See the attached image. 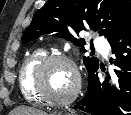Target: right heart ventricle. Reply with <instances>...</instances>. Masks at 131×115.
I'll list each match as a JSON object with an SVG mask.
<instances>
[{"label": "right heart ventricle", "mask_w": 131, "mask_h": 115, "mask_svg": "<svg viewBox=\"0 0 131 115\" xmlns=\"http://www.w3.org/2000/svg\"><path fill=\"white\" fill-rule=\"evenodd\" d=\"M45 56L46 52L43 49L34 50L24 58L18 70L19 90L25 101L34 105L43 103L33 89L32 79L35 67Z\"/></svg>", "instance_id": "1"}]
</instances>
